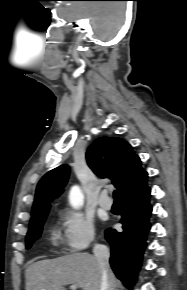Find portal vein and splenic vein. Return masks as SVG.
<instances>
[{
	"mask_svg": "<svg viewBox=\"0 0 187 290\" xmlns=\"http://www.w3.org/2000/svg\"><path fill=\"white\" fill-rule=\"evenodd\" d=\"M76 288H77V285H71V286H70V289H71V290H76Z\"/></svg>",
	"mask_w": 187,
	"mask_h": 290,
	"instance_id": "1",
	"label": "portal vein and splenic vein"
}]
</instances>
